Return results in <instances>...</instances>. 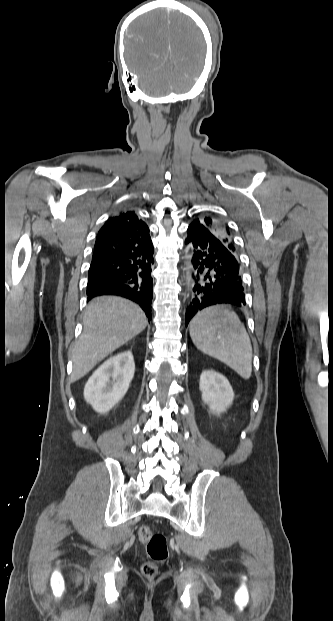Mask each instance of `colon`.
<instances>
[{
  "label": "colon",
  "instance_id": "colon-1",
  "mask_svg": "<svg viewBox=\"0 0 333 621\" xmlns=\"http://www.w3.org/2000/svg\"><path fill=\"white\" fill-rule=\"evenodd\" d=\"M138 536L140 541L146 546V551L150 558V560L142 564L141 572L144 577L153 579L158 573L159 566L168 558L167 539L163 534L154 533L151 527L147 525L139 528Z\"/></svg>",
  "mask_w": 333,
  "mask_h": 621
}]
</instances>
